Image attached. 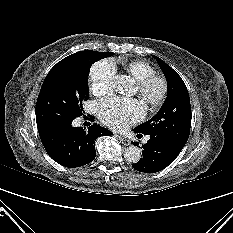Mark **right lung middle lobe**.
<instances>
[{
	"label": "right lung middle lobe",
	"mask_w": 233,
	"mask_h": 233,
	"mask_svg": "<svg viewBox=\"0 0 233 233\" xmlns=\"http://www.w3.org/2000/svg\"><path fill=\"white\" fill-rule=\"evenodd\" d=\"M112 52L79 51L59 61L47 74L36 103L38 130L70 124L83 115V101L89 98L91 65Z\"/></svg>",
	"instance_id": "right-lung-middle-lobe-1"
}]
</instances>
